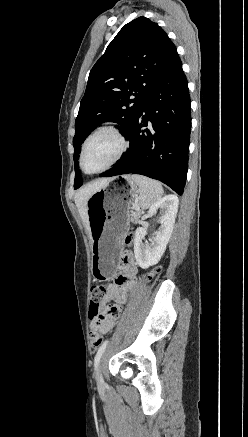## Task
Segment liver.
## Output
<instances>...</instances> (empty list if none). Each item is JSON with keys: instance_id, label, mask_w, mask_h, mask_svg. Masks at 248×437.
Here are the masks:
<instances>
[{"instance_id": "obj_1", "label": "liver", "mask_w": 248, "mask_h": 437, "mask_svg": "<svg viewBox=\"0 0 248 437\" xmlns=\"http://www.w3.org/2000/svg\"><path fill=\"white\" fill-rule=\"evenodd\" d=\"M107 181L108 179H99L90 182L85 186L81 187L75 194V204L78 208L79 214L85 226L87 227L88 231H90L89 222H88V213H87L88 199L91 197L93 193L99 190Z\"/></svg>"}]
</instances>
